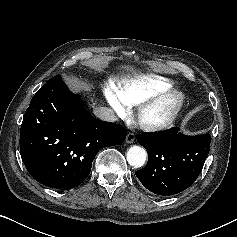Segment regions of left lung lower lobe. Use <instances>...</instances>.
<instances>
[{
    "label": "left lung lower lobe",
    "mask_w": 237,
    "mask_h": 237,
    "mask_svg": "<svg viewBox=\"0 0 237 237\" xmlns=\"http://www.w3.org/2000/svg\"><path fill=\"white\" fill-rule=\"evenodd\" d=\"M137 141L148 152L147 165L136 171L142 185L157 195L187 189L199 176L210 150V135L187 136L173 127L144 133Z\"/></svg>",
    "instance_id": "1"
}]
</instances>
